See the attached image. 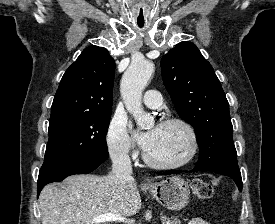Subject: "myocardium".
<instances>
[{"label": "myocardium", "mask_w": 275, "mask_h": 224, "mask_svg": "<svg viewBox=\"0 0 275 224\" xmlns=\"http://www.w3.org/2000/svg\"><path fill=\"white\" fill-rule=\"evenodd\" d=\"M177 124L182 126L186 132L188 133L189 139H190V149L186 157H184L182 160L174 163H163L154 160L148 152H145L144 154V160L146 164H148L150 167L156 168V169H162V170H173L178 169L181 167H184L185 165L189 164L193 158L195 157L197 150H198V137L196 134V131L194 127L185 119L179 118V117H169L164 120H162L159 123V126H167V125H173Z\"/></svg>", "instance_id": "1"}]
</instances>
